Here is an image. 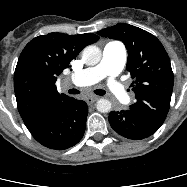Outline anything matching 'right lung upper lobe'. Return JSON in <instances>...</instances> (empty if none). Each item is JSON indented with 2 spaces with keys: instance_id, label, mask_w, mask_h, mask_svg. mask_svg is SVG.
Here are the masks:
<instances>
[{
  "instance_id": "right-lung-upper-lobe-1",
  "label": "right lung upper lobe",
  "mask_w": 187,
  "mask_h": 187,
  "mask_svg": "<svg viewBox=\"0 0 187 187\" xmlns=\"http://www.w3.org/2000/svg\"><path fill=\"white\" fill-rule=\"evenodd\" d=\"M99 37L92 33H49L32 39L20 54L14 73L19 113L31 128L71 97L59 94L57 76L79 52Z\"/></svg>"
}]
</instances>
